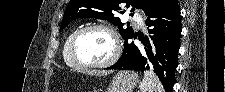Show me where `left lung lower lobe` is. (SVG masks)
Wrapping results in <instances>:
<instances>
[{
    "label": "left lung lower lobe",
    "instance_id": "0a47b994",
    "mask_svg": "<svg viewBox=\"0 0 225 92\" xmlns=\"http://www.w3.org/2000/svg\"><path fill=\"white\" fill-rule=\"evenodd\" d=\"M149 35L139 36L142 45L124 42L119 60L107 69L150 70L160 78L166 91L175 83L180 47L181 16L177 0H163L146 13ZM135 38L133 35L131 38Z\"/></svg>",
    "mask_w": 225,
    "mask_h": 92
}]
</instances>
